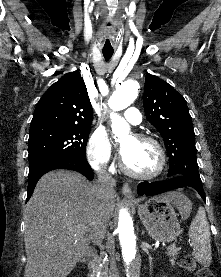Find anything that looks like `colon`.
<instances>
[{
  "instance_id": "obj_1",
  "label": "colon",
  "mask_w": 221,
  "mask_h": 277,
  "mask_svg": "<svg viewBox=\"0 0 221 277\" xmlns=\"http://www.w3.org/2000/svg\"><path fill=\"white\" fill-rule=\"evenodd\" d=\"M177 263L181 268L185 270L196 271L197 277H215L213 272H211L208 269H205V268L197 269V264L195 260L190 254L186 252H181L178 254Z\"/></svg>"
}]
</instances>
